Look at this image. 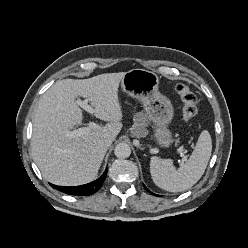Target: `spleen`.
<instances>
[{
	"mask_svg": "<svg viewBox=\"0 0 248 248\" xmlns=\"http://www.w3.org/2000/svg\"><path fill=\"white\" fill-rule=\"evenodd\" d=\"M212 151L209 132H201L190 158L178 169L173 167L171 159L152 157L150 173L154 183L170 192H181L191 188L205 172Z\"/></svg>",
	"mask_w": 248,
	"mask_h": 248,
	"instance_id": "1",
	"label": "spleen"
}]
</instances>
